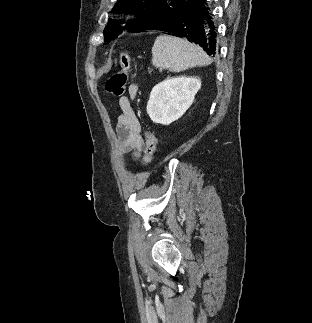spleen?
Here are the masks:
<instances>
[{
    "instance_id": "spleen-1",
    "label": "spleen",
    "mask_w": 312,
    "mask_h": 323,
    "mask_svg": "<svg viewBox=\"0 0 312 323\" xmlns=\"http://www.w3.org/2000/svg\"><path fill=\"white\" fill-rule=\"evenodd\" d=\"M152 52V64L160 70L170 72H184L195 66H209L211 60L200 46L190 44L187 38H176V36H158Z\"/></svg>"
}]
</instances>
